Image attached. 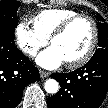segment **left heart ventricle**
Here are the masks:
<instances>
[{
  "mask_svg": "<svg viewBox=\"0 0 108 108\" xmlns=\"http://www.w3.org/2000/svg\"><path fill=\"white\" fill-rule=\"evenodd\" d=\"M92 39V28L86 20H78L52 46L62 55L64 62L79 58L89 47Z\"/></svg>",
  "mask_w": 108,
  "mask_h": 108,
  "instance_id": "obj_1",
  "label": "left heart ventricle"
}]
</instances>
